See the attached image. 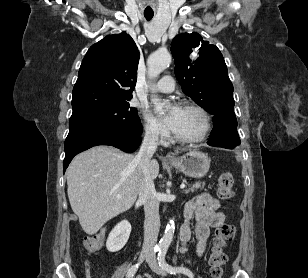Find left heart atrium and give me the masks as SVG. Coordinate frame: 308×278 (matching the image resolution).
Wrapping results in <instances>:
<instances>
[{
    "label": "left heart atrium",
    "instance_id": "obj_1",
    "mask_svg": "<svg viewBox=\"0 0 308 278\" xmlns=\"http://www.w3.org/2000/svg\"><path fill=\"white\" fill-rule=\"evenodd\" d=\"M158 110V108H157ZM182 109L179 106H172L168 112L161 118L162 123L170 130H176Z\"/></svg>",
    "mask_w": 308,
    "mask_h": 278
}]
</instances>
